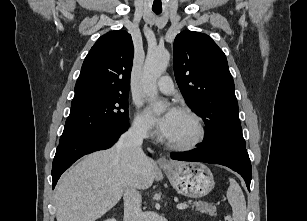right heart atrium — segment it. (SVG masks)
Here are the masks:
<instances>
[{"label":"right heart atrium","mask_w":307,"mask_h":221,"mask_svg":"<svg viewBox=\"0 0 307 221\" xmlns=\"http://www.w3.org/2000/svg\"><path fill=\"white\" fill-rule=\"evenodd\" d=\"M133 129L138 134L140 137L148 139V138H153L155 136V132L146 118V116L138 112L135 115L134 121H133Z\"/></svg>","instance_id":"right-heart-atrium-1"}]
</instances>
